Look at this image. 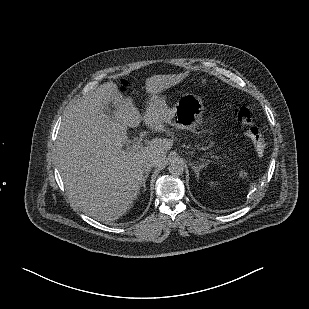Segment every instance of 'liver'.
I'll list each match as a JSON object with an SVG mask.
<instances>
[{"label":"liver","mask_w":309,"mask_h":309,"mask_svg":"<svg viewBox=\"0 0 309 309\" xmlns=\"http://www.w3.org/2000/svg\"><path fill=\"white\" fill-rule=\"evenodd\" d=\"M154 82H147L153 94ZM111 103L116 109L112 116ZM164 105L154 95L142 117L132 100L123 99L117 85L107 82L66 111L57 138V166L69 197L84 214L111 222L131 208L145 164H163L173 140L154 138L142 149L123 150L127 127L143 121L154 132L165 131Z\"/></svg>","instance_id":"6515ba94"}]
</instances>
